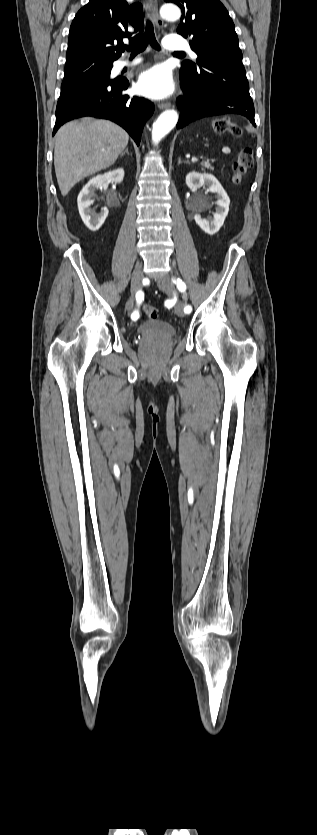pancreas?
<instances>
[{
    "instance_id": "obj_1",
    "label": "pancreas",
    "mask_w": 317,
    "mask_h": 835,
    "mask_svg": "<svg viewBox=\"0 0 317 835\" xmlns=\"http://www.w3.org/2000/svg\"><path fill=\"white\" fill-rule=\"evenodd\" d=\"M201 165H202L203 167H205V168H208V169L210 168V169H211V165H210V163H209V160H204V161L201 163Z\"/></svg>"
}]
</instances>
